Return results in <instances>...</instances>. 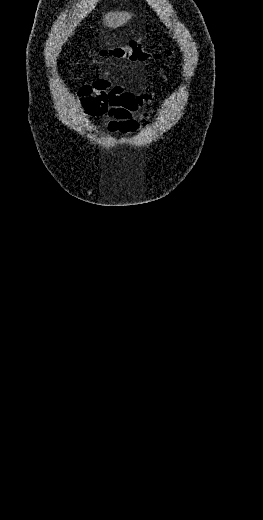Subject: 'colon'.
<instances>
[{
    "label": "colon",
    "instance_id": "5ec220e1",
    "mask_svg": "<svg viewBox=\"0 0 263 520\" xmlns=\"http://www.w3.org/2000/svg\"><path fill=\"white\" fill-rule=\"evenodd\" d=\"M101 56H111L117 59L129 61H145L153 56L146 47L137 40H131L127 43L117 45L113 48L102 49L99 51ZM160 56V54H157Z\"/></svg>",
    "mask_w": 263,
    "mask_h": 520
}]
</instances>
